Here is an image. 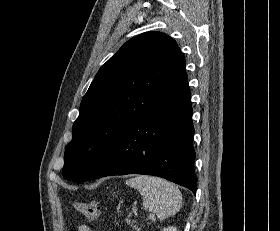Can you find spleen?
Returning a JSON list of instances; mask_svg holds the SVG:
<instances>
[{"label":"spleen","instance_id":"obj_1","mask_svg":"<svg viewBox=\"0 0 280 231\" xmlns=\"http://www.w3.org/2000/svg\"><path fill=\"white\" fill-rule=\"evenodd\" d=\"M127 185L139 189L143 197L144 209L154 211L160 221L175 215L182 205V193L175 183L162 177L152 175H136L127 179Z\"/></svg>","mask_w":280,"mask_h":231}]
</instances>
